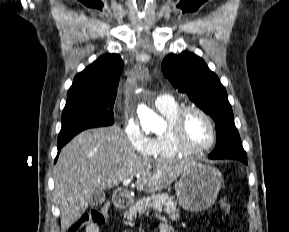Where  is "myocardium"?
<instances>
[{"label":"myocardium","mask_w":289,"mask_h":232,"mask_svg":"<svg viewBox=\"0 0 289 232\" xmlns=\"http://www.w3.org/2000/svg\"><path fill=\"white\" fill-rule=\"evenodd\" d=\"M190 112H196L200 114L202 117L205 118V120L208 122L210 126L211 138L208 141V143L202 146H193L189 144L185 138L184 122L186 116ZM170 132L177 145L191 154H197L208 150L214 145L217 139V129L214 120L204 109L196 105H188L180 107V109L178 110V112L176 113V115L174 116L173 120L170 123Z\"/></svg>","instance_id":"f54148a6"}]
</instances>
